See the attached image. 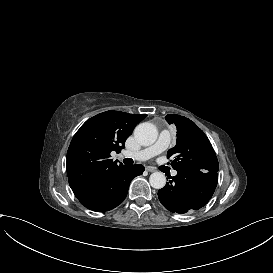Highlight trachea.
Instances as JSON below:
<instances>
[{"mask_svg": "<svg viewBox=\"0 0 273 273\" xmlns=\"http://www.w3.org/2000/svg\"><path fill=\"white\" fill-rule=\"evenodd\" d=\"M123 163L125 165H132L133 164V160L129 159V158H125V159H123Z\"/></svg>", "mask_w": 273, "mask_h": 273, "instance_id": "1", "label": "trachea"}]
</instances>
